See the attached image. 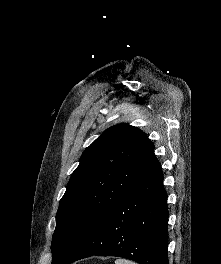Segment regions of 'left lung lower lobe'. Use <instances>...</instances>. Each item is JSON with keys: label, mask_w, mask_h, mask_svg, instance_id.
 Here are the masks:
<instances>
[{"label": "left lung lower lobe", "mask_w": 221, "mask_h": 264, "mask_svg": "<svg viewBox=\"0 0 221 264\" xmlns=\"http://www.w3.org/2000/svg\"><path fill=\"white\" fill-rule=\"evenodd\" d=\"M167 195L158 164L65 258L69 264L93 255L118 256L139 264H168Z\"/></svg>", "instance_id": "0a47b994"}]
</instances>
